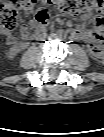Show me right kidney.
Returning a JSON list of instances; mask_svg holds the SVG:
<instances>
[{"instance_id": "1", "label": "right kidney", "mask_w": 104, "mask_h": 137, "mask_svg": "<svg viewBox=\"0 0 104 137\" xmlns=\"http://www.w3.org/2000/svg\"><path fill=\"white\" fill-rule=\"evenodd\" d=\"M17 54V49L12 47L10 48L9 52L7 53V56L9 59H13Z\"/></svg>"}]
</instances>
